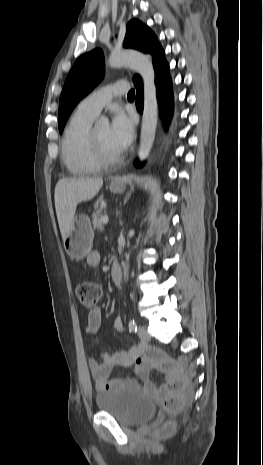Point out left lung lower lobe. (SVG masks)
Masks as SVG:
<instances>
[{
  "mask_svg": "<svg viewBox=\"0 0 263 465\" xmlns=\"http://www.w3.org/2000/svg\"><path fill=\"white\" fill-rule=\"evenodd\" d=\"M153 65L155 69V82L157 86V98L161 110V116L166 125L169 123L173 114V91L172 80L169 74V64L165 59V53L162 47H158L152 54ZM134 84L137 89L136 107L138 112L143 111V84L139 76H135ZM135 165L139 167L141 164L137 160Z\"/></svg>",
  "mask_w": 263,
  "mask_h": 465,
  "instance_id": "1",
  "label": "left lung lower lobe"
}]
</instances>
